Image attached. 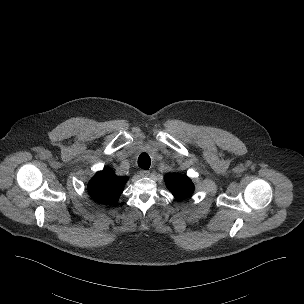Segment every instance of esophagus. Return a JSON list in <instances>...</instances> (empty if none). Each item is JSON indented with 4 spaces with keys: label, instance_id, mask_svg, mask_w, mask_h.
<instances>
[{
    "label": "esophagus",
    "instance_id": "1",
    "mask_svg": "<svg viewBox=\"0 0 304 304\" xmlns=\"http://www.w3.org/2000/svg\"><path fill=\"white\" fill-rule=\"evenodd\" d=\"M139 174L142 177H146L150 174V171L149 170H140Z\"/></svg>",
    "mask_w": 304,
    "mask_h": 304
}]
</instances>
